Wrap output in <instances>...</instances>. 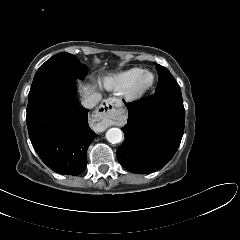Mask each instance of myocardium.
I'll use <instances>...</instances> for the list:
<instances>
[{
    "label": "myocardium",
    "instance_id": "f54148a6",
    "mask_svg": "<svg viewBox=\"0 0 240 240\" xmlns=\"http://www.w3.org/2000/svg\"><path fill=\"white\" fill-rule=\"evenodd\" d=\"M151 75L152 80L147 86H141V81L145 75ZM156 76L153 72L145 70L133 83L127 88L126 96L131 101L141 100L154 87Z\"/></svg>",
    "mask_w": 240,
    "mask_h": 240
}]
</instances>
